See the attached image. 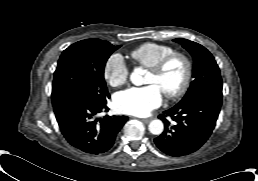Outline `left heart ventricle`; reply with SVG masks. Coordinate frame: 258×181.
Segmentation results:
<instances>
[{
	"mask_svg": "<svg viewBox=\"0 0 258 181\" xmlns=\"http://www.w3.org/2000/svg\"><path fill=\"white\" fill-rule=\"evenodd\" d=\"M184 64L181 60L171 61L163 73L157 75L148 72L146 83L157 85L162 92L173 91L179 87L184 76Z\"/></svg>",
	"mask_w": 258,
	"mask_h": 181,
	"instance_id": "left-heart-ventricle-1",
	"label": "left heart ventricle"
}]
</instances>
